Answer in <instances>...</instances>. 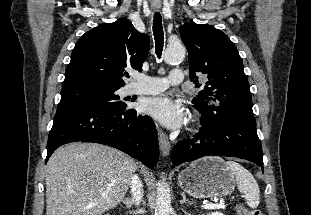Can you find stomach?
<instances>
[{"label": "stomach", "instance_id": "1", "mask_svg": "<svg viewBox=\"0 0 311 215\" xmlns=\"http://www.w3.org/2000/svg\"><path fill=\"white\" fill-rule=\"evenodd\" d=\"M178 184L187 194L198 199H214L231 194L236 179L226 162L216 156L197 160L178 175Z\"/></svg>", "mask_w": 311, "mask_h": 215}]
</instances>
